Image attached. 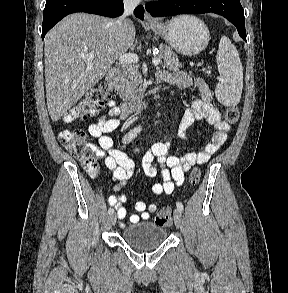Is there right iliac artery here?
Segmentation results:
<instances>
[{
	"instance_id": "obj_1",
	"label": "right iliac artery",
	"mask_w": 288,
	"mask_h": 293,
	"mask_svg": "<svg viewBox=\"0 0 288 293\" xmlns=\"http://www.w3.org/2000/svg\"><path fill=\"white\" fill-rule=\"evenodd\" d=\"M141 131L140 127H136L132 130H130L122 139L123 143H129L130 141H132ZM109 214H113L114 213V209L113 208H109L108 210Z\"/></svg>"
}]
</instances>
